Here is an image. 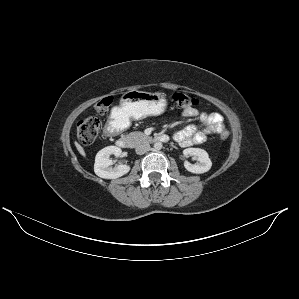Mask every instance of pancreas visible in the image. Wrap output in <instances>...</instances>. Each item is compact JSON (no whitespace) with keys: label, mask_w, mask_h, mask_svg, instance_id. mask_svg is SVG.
<instances>
[{"label":"pancreas","mask_w":299,"mask_h":299,"mask_svg":"<svg viewBox=\"0 0 299 299\" xmlns=\"http://www.w3.org/2000/svg\"><path fill=\"white\" fill-rule=\"evenodd\" d=\"M127 137L130 139V141L136 145V144H139L141 142H144L146 140H149L150 137L145 135L144 133L142 132H132L130 133L129 135H127Z\"/></svg>","instance_id":"obj_1"}]
</instances>
